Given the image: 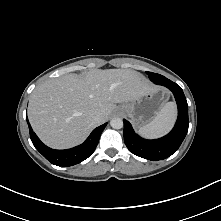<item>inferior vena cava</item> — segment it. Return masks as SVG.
I'll list each match as a JSON object with an SVG mask.
<instances>
[{
  "label": "inferior vena cava",
  "mask_w": 221,
  "mask_h": 221,
  "mask_svg": "<svg viewBox=\"0 0 221 221\" xmlns=\"http://www.w3.org/2000/svg\"><path fill=\"white\" fill-rule=\"evenodd\" d=\"M94 120L96 122H100L101 121V114L100 113H96L95 116H94Z\"/></svg>",
  "instance_id": "obj_1"
}]
</instances>
